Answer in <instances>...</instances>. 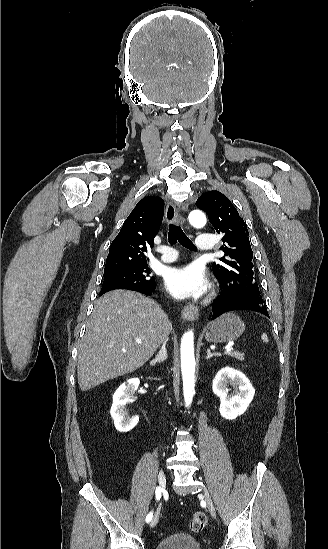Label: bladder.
Instances as JSON below:
<instances>
[{
	"label": "bladder",
	"mask_w": 328,
	"mask_h": 549,
	"mask_svg": "<svg viewBox=\"0 0 328 549\" xmlns=\"http://www.w3.org/2000/svg\"><path fill=\"white\" fill-rule=\"evenodd\" d=\"M155 549H202L194 536L185 533H174L158 543Z\"/></svg>",
	"instance_id": "31cf9c89"
}]
</instances>
